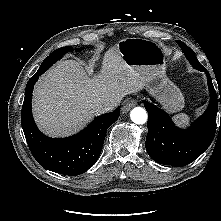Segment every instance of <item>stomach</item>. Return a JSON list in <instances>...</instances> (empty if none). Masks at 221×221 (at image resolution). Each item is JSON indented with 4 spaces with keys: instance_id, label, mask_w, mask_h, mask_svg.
Segmentation results:
<instances>
[{
    "instance_id": "0dacf381",
    "label": "stomach",
    "mask_w": 221,
    "mask_h": 221,
    "mask_svg": "<svg viewBox=\"0 0 221 221\" xmlns=\"http://www.w3.org/2000/svg\"><path fill=\"white\" fill-rule=\"evenodd\" d=\"M125 63L140 75L144 88L169 112L184 107L180 90L167 78L165 54L155 41L145 38H126L117 44Z\"/></svg>"
}]
</instances>
